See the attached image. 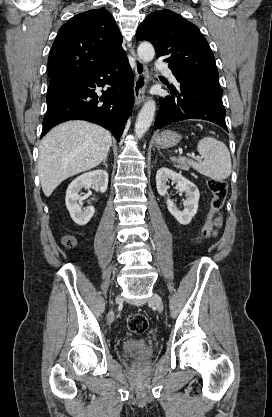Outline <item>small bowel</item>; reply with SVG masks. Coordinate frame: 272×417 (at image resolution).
<instances>
[{
	"mask_svg": "<svg viewBox=\"0 0 272 417\" xmlns=\"http://www.w3.org/2000/svg\"><path fill=\"white\" fill-rule=\"evenodd\" d=\"M221 224H222V216H221V214H218L217 216H216V218H215V220H214V225L216 226V228H219L220 226H221ZM217 232L216 231H214V233L213 234H216Z\"/></svg>",
	"mask_w": 272,
	"mask_h": 417,
	"instance_id": "1",
	"label": "small bowel"
}]
</instances>
